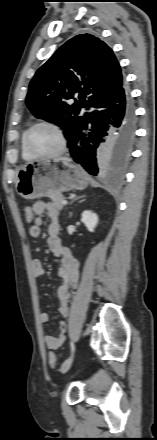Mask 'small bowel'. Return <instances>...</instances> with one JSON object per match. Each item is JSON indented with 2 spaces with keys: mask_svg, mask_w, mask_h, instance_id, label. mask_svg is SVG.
I'll use <instances>...</instances> for the list:
<instances>
[{
  "mask_svg": "<svg viewBox=\"0 0 157 440\" xmlns=\"http://www.w3.org/2000/svg\"><path fill=\"white\" fill-rule=\"evenodd\" d=\"M32 209L35 214L33 224L29 228V234L33 238H38L41 235L42 218L41 215L47 212L50 219L48 226V246L51 253L59 258L58 275L62 279V284L57 289V297L59 300L58 311L62 317L60 320V331L58 335H45L44 341L49 349L59 348L66 339L67 323L66 318L69 314V299L72 291L75 289L79 274L80 266L78 260L73 256L71 251L62 245L59 238L60 226L59 220V208L56 204L50 201H36ZM32 273L34 277H41L44 272V266L40 259H34L31 264ZM40 321L46 323L48 321V315L46 313L40 314Z\"/></svg>",
  "mask_w": 157,
  "mask_h": 440,
  "instance_id": "1",
  "label": "small bowel"
}]
</instances>
